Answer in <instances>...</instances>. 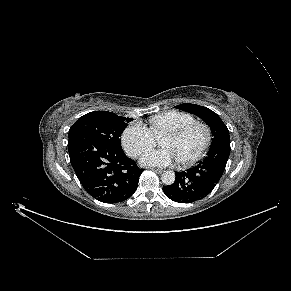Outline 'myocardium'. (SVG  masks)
Listing matches in <instances>:
<instances>
[{"label": "myocardium", "mask_w": 291, "mask_h": 291, "mask_svg": "<svg viewBox=\"0 0 291 291\" xmlns=\"http://www.w3.org/2000/svg\"><path fill=\"white\" fill-rule=\"evenodd\" d=\"M196 128H201L204 131V141L200 150L191 158L186 160H178L180 164L190 166L198 162L208 150L212 141V132L208 124L204 122L195 121L184 125L178 129L167 132L163 137L180 138Z\"/></svg>", "instance_id": "1"}]
</instances>
